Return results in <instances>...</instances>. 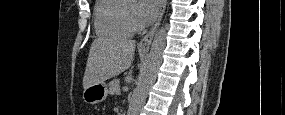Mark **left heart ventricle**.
<instances>
[{"label": "left heart ventricle", "mask_w": 285, "mask_h": 115, "mask_svg": "<svg viewBox=\"0 0 285 115\" xmlns=\"http://www.w3.org/2000/svg\"><path fill=\"white\" fill-rule=\"evenodd\" d=\"M137 10H138L137 5H135V4L129 5V12L131 14L136 16Z\"/></svg>", "instance_id": "b2bd125f"}]
</instances>
